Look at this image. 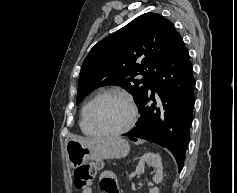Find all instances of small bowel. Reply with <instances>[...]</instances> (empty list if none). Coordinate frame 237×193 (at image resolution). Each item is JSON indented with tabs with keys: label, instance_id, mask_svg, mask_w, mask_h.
Wrapping results in <instances>:
<instances>
[{
	"label": "small bowel",
	"instance_id": "1",
	"mask_svg": "<svg viewBox=\"0 0 237 193\" xmlns=\"http://www.w3.org/2000/svg\"><path fill=\"white\" fill-rule=\"evenodd\" d=\"M100 188L104 193H119L116 175L111 171H103L100 175ZM83 193H92L91 188Z\"/></svg>",
	"mask_w": 237,
	"mask_h": 193
}]
</instances>
